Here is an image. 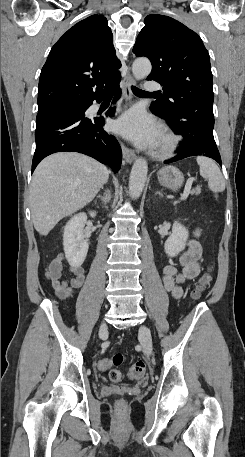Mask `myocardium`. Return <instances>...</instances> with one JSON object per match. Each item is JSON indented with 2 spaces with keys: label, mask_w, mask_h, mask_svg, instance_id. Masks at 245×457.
I'll return each mask as SVG.
<instances>
[{
  "label": "myocardium",
  "mask_w": 245,
  "mask_h": 457,
  "mask_svg": "<svg viewBox=\"0 0 245 457\" xmlns=\"http://www.w3.org/2000/svg\"><path fill=\"white\" fill-rule=\"evenodd\" d=\"M178 143V138L172 132L163 130L155 146L156 156L164 157L170 155L177 148Z\"/></svg>",
  "instance_id": "f54148a6"
}]
</instances>
